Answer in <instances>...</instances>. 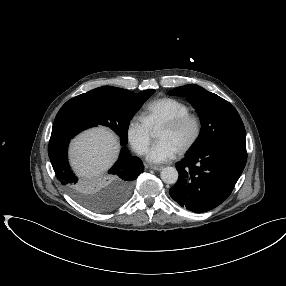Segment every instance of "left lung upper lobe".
Segmentation results:
<instances>
[{
	"mask_svg": "<svg viewBox=\"0 0 286 286\" xmlns=\"http://www.w3.org/2000/svg\"><path fill=\"white\" fill-rule=\"evenodd\" d=\"M168 94L185 96L200 117L202 130L192 152L218 143L246 145L241 117L223 98L194 84L177 87Z\"/></svg>",
	"mask_w": 286,
	"mask_h": 286,
	"instance_id": "5c2ea615",
	"label": "left lung upper lobe"
}]
</instances>
